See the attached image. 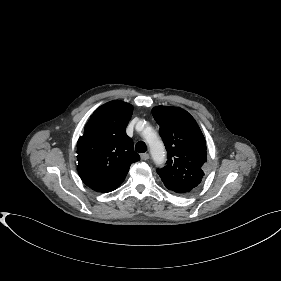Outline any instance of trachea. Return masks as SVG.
<instances>
[{
  "label": "trachea",
  "mask_w": 281,
  "mask_h": 281,
  "mask_svg": "<svg viewBox=\"0 0 281 281\" xmlns=\"http://www.w3.org/2000/svg\"><path fill=\"white\" fill-rule=\"evenodd\" d=\"M135 150L139 153H144L147 150L146 144L143 141H139L136 146Z\"/></svg>",
  "instance_id": "1"
}]
</instances>
